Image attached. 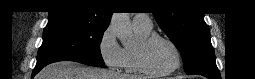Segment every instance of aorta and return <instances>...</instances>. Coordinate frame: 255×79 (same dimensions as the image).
<instances>
[{
    "label": "aorta",
    "instance_id": "aorta-1",
    "mask_svg": "<svg viewBox=\"0 0 255 79\" xmlns=\"http://www.w3.org/2000/svg\"><path fill=\"white\" fill-rule=\"evenodd\" d=\"M110 27L122 45L126 46L132 42L133 32L129 13H113Z\"/></svg>",
    "mask_w": 255,
    "mask_h": 79
}]
</instances>
